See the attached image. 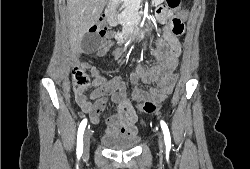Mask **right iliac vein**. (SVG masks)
<instances>
[{
    "label": "right iliac vein",
    "mask_w": 250,
    "mask_h": 169,
    "mask_svg": "<svg viewBox=\"0 0 250 169\" xmlns=\"http://www.w3.org/2000/svg\"><path fill=\"white\" fill-rule=\"evenodd\" d=\"M83 145H84L85 153H88V150L90 147V133H89V131H87L84 135Z\"/></svg>",
    "instance_id": "right-iliac-vein-1"
}]
</instances>
